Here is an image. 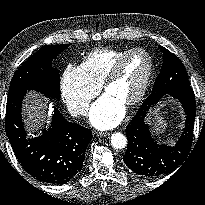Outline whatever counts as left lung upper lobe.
<instances>
[{"label": "left lung upper lobe", "mask_w": 205, "mask_h": 205, "mask_svg": "<svg viewBox=\"0 0 205 205\" xmlns=\"http://www.w3.org/2000/svg\"><path fill=\"white\" fill-rule=\"evenodd\" d=\"M159 48L163 52V63L152 93L146 99L149 103L158 102L174 90L191 88L181 60L166 48L162 46Z\"/></svg>", "instance_id": "5c2ea615"}]
</instances>
